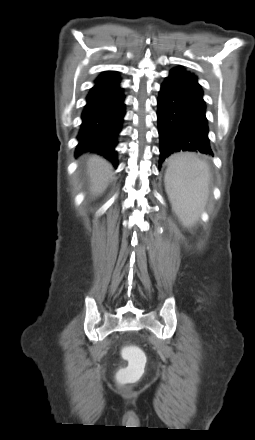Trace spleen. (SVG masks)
<instances>
[{"mask_svg":"<svg viewBox=\"0 0 255 440\" xmlns=\"http://www.w3.org/2000/svg\"><path fill=\"white\" fill-rule=\"evenodd\" d=\"M209 166L192 153H179L168 160L165 186L175 213L184 226L199 218L207 198Z\"/></svg>","mask_w":255,"mask_h":440,"instance_id":"obj_1","label":"spleen"}]
</instances>
